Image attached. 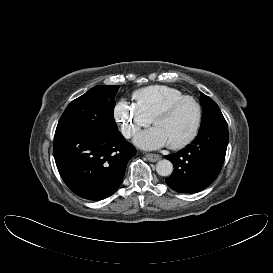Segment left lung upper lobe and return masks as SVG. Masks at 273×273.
I'll use <instances>...</instances> for the list:
<instances>
[{
    "label": "left lung upper lobe",
    "mask_w": 273,
    "mask_h": 273,
    "mask_svg": "<svg viewBox=\"0 0 273 273\" xmlns=\"http://www.w3.org/2000/svg\"><path fill=\"white\" fill-rule=\"evenodd\" d=\"M200 102L203 108V116L199 132L228 127L218 105L210 97L201 93Z\"/></svg>",
    "instance_id": "1"
}]
</instances>
